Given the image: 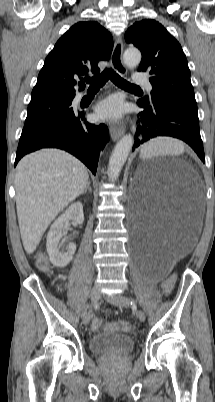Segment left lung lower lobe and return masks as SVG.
I'll return each mask as SVG.
<instances>
[{
    "label": "left lung lower lobe",
    "instance_id": "1",
    "mask_svg": "<svg viewBox=\"0 0 215 402\" xmlns=\"http://www.w3.org/2000/svg\"><path fill=\"white\" fill-rule=\"evenodd\" d=\"M137 103L144 111L138 115L141 126L137 127L132 151L154 137L171 136L186 142L205 162L197 111L158 98H142Z\"/></svg>",
    "mask_w": 215,
    "mask_h": 402
}]
</instances>
